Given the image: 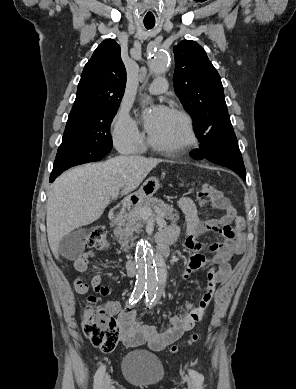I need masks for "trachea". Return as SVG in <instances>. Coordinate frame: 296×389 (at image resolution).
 Here are the masks:
<instances>
[{
	"instance_id": "3493384b",
	"label": "trachea",
	"mask_w": 296,
	"mask_h": 389,
	"mask_svg": "<svg viewBox=\"0 0 296 389\" xmlns=\"http://www.w3.org/2000/svg\"><path fill=\"white\" fill-rule=\"evenodd\" d=\"M144 26L147 28V29H152L154 27L153 24H144Z\"/></svg>"
}]
</instances>
